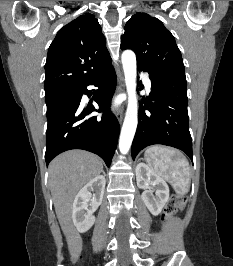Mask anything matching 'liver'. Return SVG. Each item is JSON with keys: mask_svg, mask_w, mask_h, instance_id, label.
Wrapping results in <instances>:
<instances>
[{"mask_svg": "<svg viewBox=\"0 0 233 266\" xmlns=\"http://www.w3.org/2000/svg\"><path fill=\"white\" fill-rule=\"evenodd\" d=\"M103 164L99 157L83 150H70L58 155L49 165V186L55 212L69 244L75 241L72 204L86 183L100 175Z\"/></svg>", "mask_w": 233, "mask_h": 266, "instance_id": "6515ba94", "label": "liver"}]
</instances>
